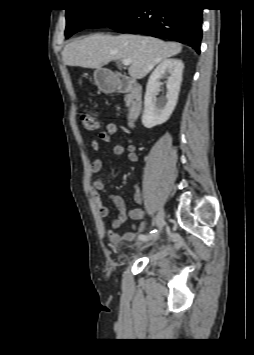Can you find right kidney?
<instances>
[{
	"instance_id": "ca27d5eb",
	"label": "right kidney",
	"mask_w": 254,
	"mask_h": 355,
	"mask_svg": "<svg viewBox=\"0 0 254 355\" xmlns=\"http://www.w3.org/2000/svg\"><path fill=\"white\" fill-rule=\"evenodd\" d=\"M184 64L180 59H165L149 77L144 97V111L142 124L146 128H153L166 122L171 116L177 104L180 91ZM170 73L167 79V94L165 98H156L161 85L160 79L166 73Z\"/></svg>"
}]
</instances>
